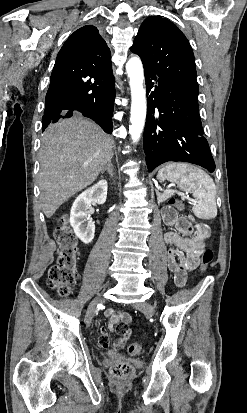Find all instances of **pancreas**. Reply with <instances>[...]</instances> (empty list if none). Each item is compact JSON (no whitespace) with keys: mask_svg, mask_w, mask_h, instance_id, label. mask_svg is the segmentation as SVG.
Segmentation results:
<instances>
[{"mask_svg":"<svg viewBox=\"0 0 247 413\" xmlns=\"http://www.w3.org/2000/svg\"><path fill=\"white\" fill-rule=\"evenodd\" d=\"M172 192H157L158 202H164L167 198H170Z\"/></svg>","mask_w":247,"mask_h":413,"instance_id":"1","label":"pancreas"}]
</instances>
